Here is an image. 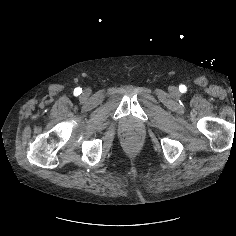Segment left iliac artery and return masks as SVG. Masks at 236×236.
<instances>
[{
  "instance_id": "1",
  "label": "left iliac artery",
  "mask_w": 236,
  "mask_h": 236,
  "mask_svg": "<svg viewBox=\"0 0 236 236\" xmlns=\"http://www.w3.org/2000/svg\"><path fill=\"white\" fill-rule=\"evenodd\" d=\"M179 89L181 92H184L186 90V87L184 85L179 86Z\"/></svg>"
}]
</instances>
